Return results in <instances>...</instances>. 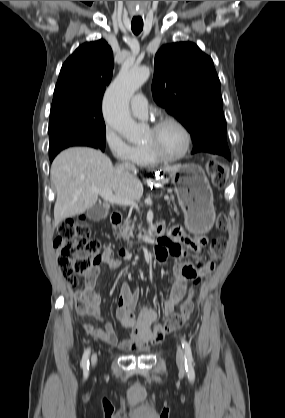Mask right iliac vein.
Masks as SVG:
<instances>
[{
    "mask_svg": "<svg viewBox=\"0 0 285 418\" xmlns=\"http://www.w3.org/2000/svg\"><path fill=\"white\" fill-rule=\"evenodd\" d=\"M96 361H97V355L93 354L92 358H91L92 366H94L96 364Z\"/></svg>",
    "mask_w": 285,
    "mask_h": 418,
    "instance_id": "obj_1",
    "label": "right iliac vein"
}]
</instances>
